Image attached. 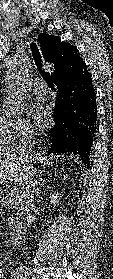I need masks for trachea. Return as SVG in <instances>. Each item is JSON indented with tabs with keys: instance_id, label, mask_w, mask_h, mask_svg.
Masks as SVG:
<instances>
[{
	"instance_id": "trachea-1",
	"label": "trachea",
	"mask_w": 113,
	"mask_h": 279,
	"mask_svg": "<svg viewBox=\"0 0 113 279\" xmlns=\"http://www.w3.org/2000/svg\"><path fill=\"white\" fill-rule=\"evenodd\" d=\"M30 48H31V52H32V56L33 59L35 61V64L37 66V69L39 70V72L41 73L43 79L47 82V84L50 87H54L52 78L50 76L49 72H46L44 69H42V59H41V55L37 49V46L35 45V43H30Z\"/></svg>"
}]
</instances>
